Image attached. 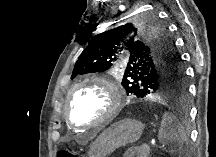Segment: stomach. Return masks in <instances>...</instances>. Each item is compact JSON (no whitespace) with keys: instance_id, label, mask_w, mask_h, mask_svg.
Wrapping results in <instances>:
<instances>
[{"instance_id":"obj_1","label":"stomach","mask_w":216,"mask_h":157,"mask_svg":"<svg viewBox=\"0 0 216 157\" xmlns=\"http://www.w3.org/2000/svg\"><path fill=\"white\" fill-rule=\"evenodd\" d=\"M143 125L133 119L115 122L106 128L92 143L89 157H106L120 147L135 142L140 138Z\"/></svg>"}]
</instances>
